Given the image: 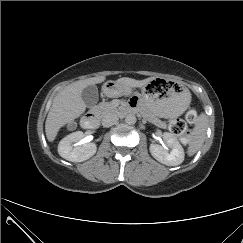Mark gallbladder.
I'll return each instance as SVG.
<instances>
[{"label":"gallbladder","mask_w":243,"mask_h":243,"mask_svg":"<svg viewBox=\"0 0 243 243\" xmlns=\"http://www.w3.org/2000/svg\"><path fill=\"white\" fill-rule=\"evenodd\" d=\"M82 100L87 107H92L98 102L99 94L95 85H89L81 93Z\"/></svg>","instance_id":"obj_1"}]
</instances>
